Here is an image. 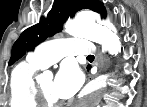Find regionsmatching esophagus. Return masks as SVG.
Here are the masks:
<instances>
[{"label": "esophagus", "mask_w": 147, "mask_h": 107, "mask_svg": "<svg viewBox=\"0 0 147 107\" xmlns=\"http://www.w3.org/2000/svg\"><path fill=\"white\" fill-rule=\"evenodd\" d=\"M96 63H97L99 72H101L104 67V56L99 48L97 49Z\"/></svg>", "instance_id": "34e87169"}]
</instances>
